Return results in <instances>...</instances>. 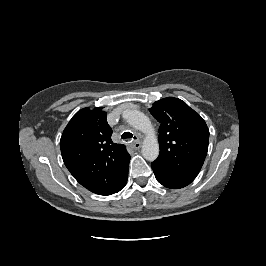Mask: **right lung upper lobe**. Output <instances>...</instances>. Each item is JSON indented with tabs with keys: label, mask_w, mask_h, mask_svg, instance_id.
Returning a JSON list of instances; mask_svg holds the SVG:
<instances>
[{
	"label": "right lung upper lobe",
	"mask_w": 266,
	"mask_h": 266,
	"mask_svg": "<svg viewBox=\"0 0 266 266\" xmlns=\"http://www.w3.org/2000/svg\"><path fill=\"white\" fill-rule=\"evenodd\" d=\"M102 107L84 108L70 120L60 139L61 154L73 177L89 191L111 195L128 176L130 155L113 143Z\"/></svg>",
	"instance_id": "obj_1"
}]
</instances>
